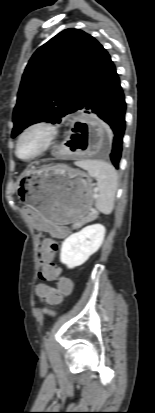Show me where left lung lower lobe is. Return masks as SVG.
<instances>
[{
	"mask_svg": "<svg viewBox=\"0 0 155 413\" xmlns=\"http://www.w3.org/2000/svg\"><path fill=\"white\" fill-rule=\"evenodd\" d=\"M80 109L85 113H95L112 129L114 139L109 157L118 169L125 131L126 103L116 68L109 54L85 94Z\"/></svg>",
	"mask_w": 155,
	"mask_h": 413,
	"instance_id": "obj_1",
	"label": "left lung lower lobe"
}]
</instances>
